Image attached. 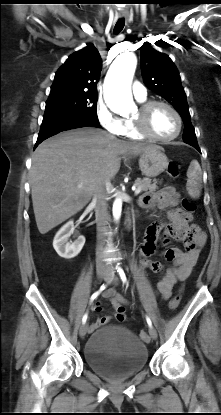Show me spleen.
Here are the masks:
<instances>
[{"label": "spleen", "mask_w": 221, "mask_h": 415, "mask_svg": "<svg viewBox=\"0 0 221 415\" xmlns=\"http://www.w3.org/2000/svg\"><path fill=\"white\" fill-rule=\"evenodd\" d=\"M186 189L192 198H199L202 189V171L197 160H193L187 171Z\"/></svg>", "instance_id": "1"}]
</instances>
